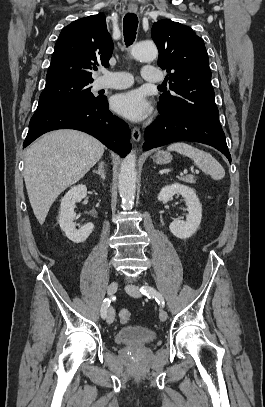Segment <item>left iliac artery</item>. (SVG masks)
<instances>
[{"instance_id": "44dca946", "label": "left iliac artery", "mask_w": 265, "mask_h": 407, "mask_svg": "<svg viewBox=\"0 0 265 407\" xmlns=\"http://www.w3.org/2000/svg\"><path fill=\"white\" fill-rule=\"evenodd\" d=\"M140 292H141L142 294L146 295V296L149 297V298H151V297H152V298H155V300L157 301V303H158L160 306L164 307L165 301H164L163 296H162L157 290H155L153 287H151V286H142V287L140 288Z\"/></svg>"}]
</instances>
